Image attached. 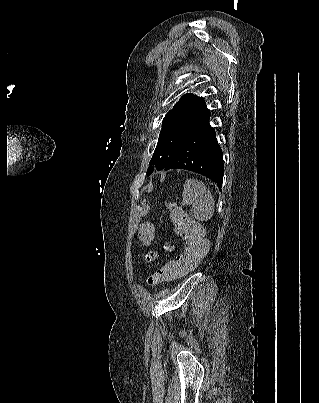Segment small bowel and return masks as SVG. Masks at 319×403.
Here are the masks:
<instances>
[{
	"mask_svg": "<svg viewBox=\"0 0 319 403\" xmlns=\"http://www.w3.org/2000/svg\"><path fill=\"white\" fill-rule=\"evenodd\" d=\"M167 249H168V247H166ZM146 255L148 256V257H151L152 255H153V252L151 251V250H148L147 252H146ZM151 261H154V258H151ZM183 275H185V274H183ZM183 275H180L179 277H181V276H183Z\"/></svg>",
	"mask_w": 319,
	"mask_h": 403,
	"instance_id": "obj_1",
	"label": "small bowel"
}]
</instances>
